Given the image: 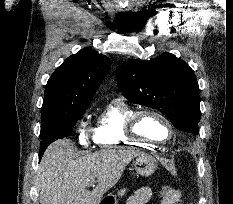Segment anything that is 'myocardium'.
<instances>
[{
    "instance_id": "myocardium-1",
    "label": "myocardium",
    "mask_w": 233,
    "mask_h": 204,
    "mask_svg": "<svg viewBox=\"0 0 233 204\" xmlns=\"http://www.w3.org/2000/svg\"><path fill=\"white\" fill-rule=\"evenodd\" d=\"M144 115H153L165 123V125L168 129V136L166 139L154 140V139H151V138H148V137L142 135L138 131L139 120ZM126 132H127L128 136L133 138V139L140 140V141L146 142L148 144L161 145V144H165V143L169 142L173 138L174 128H173L171 121L169 120V118L166 115H164L162 112H160L154 108L146 107V108L136 110L131 114V116L129 117L128 122H127Z\"/></svg>"
}]
</instances>
